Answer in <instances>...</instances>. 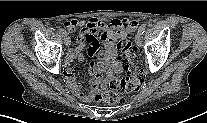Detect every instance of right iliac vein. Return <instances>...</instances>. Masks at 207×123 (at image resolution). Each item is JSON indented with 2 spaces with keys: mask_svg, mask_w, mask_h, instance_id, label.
<instances>
[{
  "mask_svg": "<svg viewBox=\"0 0 207 123\" xmlns=\"http://www.w3.org/2000/svg\"><path fill=\"white\" fill-rule=\"evenodd\" d=\"M64 42H65L66 46H70L71 41H70V37L68 35L64 36Z\"/></svg>",
  "mask_w": 207,
  "mask_h": 123,
  "instance_id": "63e3f726",
  "label": "right iliac vein"
}]
</instances>
